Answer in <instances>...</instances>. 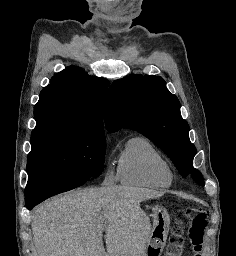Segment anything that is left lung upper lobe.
<instances>
[{
    "label": "left lung upper lobe",
    "mask_w": 236,
    "mask_h": 256,
    "mask_svg": "<svg viewBox=\"0 0 236 256\" xmlns=\"http://www.w3.org/2000/svg\"><path fill=\"white\" fill-rule=\"evenodd\" d=\"M105 124L110 132L124 127L142 133L170 157L182 177L191 174L204 186L193 167L196 148L189 139V125L181 116L178 98L161 77L131 75L114 81L106 99Z\"/></svg>",
    "instance_id": "5c2ea615"
}]
</instances>
